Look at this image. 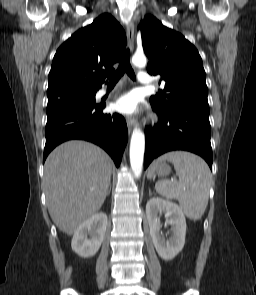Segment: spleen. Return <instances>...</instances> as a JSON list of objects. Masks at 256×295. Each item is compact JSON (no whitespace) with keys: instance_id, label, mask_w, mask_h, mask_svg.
<instances>
[{"instance_id":"1","label":"spleen","mask_w":256,"mask_h":295,"mask_svg":"<svg viewBox=\"0 0 256 295\" xmlns=\"http://www.w3.org/2000/svg\"><path fill=\"white\" fill-rule=\"evenodd\" d=\"M173 163L179 182L162 180L155 184L158 194L179 201L188 218L199 220L205 212L209 198L211 173L206 162L189 152L175 151L160 156L149 171L152 177L155 165L162 161Z\"/></svg>"}]
</instances>
